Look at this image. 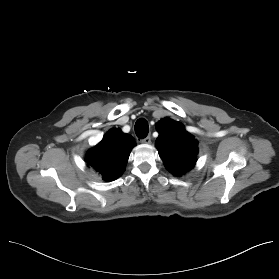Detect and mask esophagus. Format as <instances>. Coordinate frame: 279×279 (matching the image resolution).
<instances>
[{"label":"esophagus","instance_id":"obj_1","mask_svg":"<svg viewBox=\"0 0 279 279\" xmlns=\"http://www.w3.org/2000/svg\"><path fill=\"white\" fill-rule=\"evenodd\" d=\"M141 143H143V144H150L151 143V137L147 136L146 138L141 140Z\"/></svg>","mask_w":279,"mask_h":279}]
</instances>
